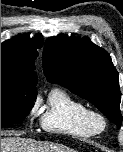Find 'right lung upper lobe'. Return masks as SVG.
I'll use <instances>...</instances> for the list:
<instances>
[{
    "label": "right lung upper lobe",
    "mask_w": 123,
    "mask_h": 152,
    "mask_svg": "<svg viewBox=\"0 0 123 152\" xmlns=\"http://www.w3.org/2000/svg\"><path fill=\"white\" fill-rule=\"evenodd\" d=\"M42 45V40L22 36L1 43V76L11 77L23 86L35 88L37 75L34 60L38 56L37 49Z\"/></svg>",
    "instance_id": "cb5924a9"
}]
</instances>
